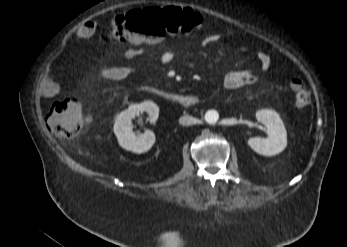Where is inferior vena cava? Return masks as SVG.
I'll return each instance as SVG.
<instances>
[{"label":"inferior vena cava","mask_w":347,"mask_h":247,"mask_svg":"<svg viewBox=\"0 0 347 247\" xmlns=\"http://www.w3.org/2000/svg\"><path fill=\"white\" fill-rule=\"evenodd\" d=\"M197 119L192 117V116H189V115H185V116H182L180 119H179V123L181 125H186V126H189L191 124H196L197 123Z\"/></svg>","instance_id":"1"}]
</instances>
